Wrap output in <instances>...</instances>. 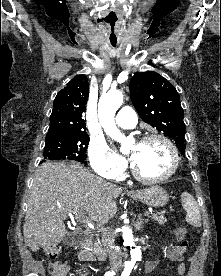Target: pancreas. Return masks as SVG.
Here are the masks:
<instances>
[{"mask_svg": "<svg viewBox=\"0 0 221 276\" xmlns=\"http://www.w3.org/2000/svg\"><path fill=\"white\" fill-rule=\"evenodd\" d=\"M151 218H152L154 221L158 222L160 225H164L165 222H166V218H165V216L162 215V214H152V215H151ZM98 244H99V239H96V241H95L94 244H93V248L98 247Z\"/></svg>", "mask_w": 221, "mask_h": 276, "instance_id": "cf45deb5", "label": "pancreas"}]
</instances>
